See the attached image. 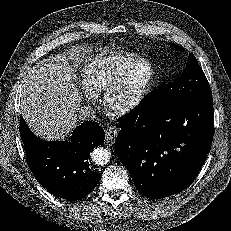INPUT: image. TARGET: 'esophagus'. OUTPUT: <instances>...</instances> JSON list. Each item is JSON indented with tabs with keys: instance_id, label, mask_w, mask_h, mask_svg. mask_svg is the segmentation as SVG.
<instances>
[{
	"instance_id": "34e87169",
	"label": "esophagus",
	"mask_w": 231,
	"mask_h": 231,
	"mask_svg": "<svg viewBox=\"0 0 231 231\" xmlns=\"http://www.w3.org/2000/svg\"><path fill=\"white\" fill-rule=\"evenodd\" d=\"M105 133L107 140H113L118 134V129L115 126H110L105 130Z\"/></svg>"
}]
</instances>
